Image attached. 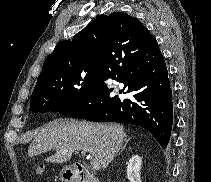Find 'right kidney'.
<instances>
[{"instance_id": "ca27d5eb", "label": "right kidney", "mask_w": 211, "mask_h": 182, "mask_svg": "<svg viewBox=\"0 0 211 182\" xmlns=\"http://www.w3.org/2000/svg\"><path fill=\"white\" fill-rule=\"evenodd\" d=\"M142 165V159L140 156H133L127 165V177L130 182H142L140 176V170Z\"/></svg>"}]
</instances>
